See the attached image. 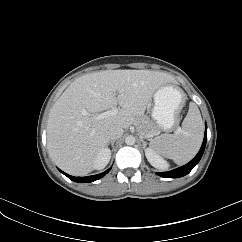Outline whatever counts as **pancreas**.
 Listing matches in <instances>:
<instances>
[{"instance_id": "pancreas-1", "label": "pancreas", "mask_w": 242, "mask_h": 242, "mask_svg": "<svg viewBox=\"0 0 242 242\" xmlns=\"http://www.w3.org/2000/svg\"><path fill=\"white\" fill-rule=\"evenodd\" d=\"M137 131L142 137H152L157 134L156 126L148 118H143L136 123Z\"/></svg>"}]
</instances>
